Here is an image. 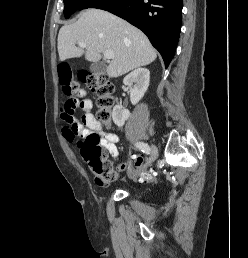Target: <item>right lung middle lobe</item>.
<instances>
[{
  "mask_svg": "<svg viewBox=\"0 0 248 258\" xmlns=\"http://www.w3.org/2000/svg\"><path fill=\"white\" fill-rule=\"evenodd\" d=\"M107 0H64L65 8L64 15L65 18H69L77 10H82L86 8L95 7Z\"/></svg>",
  "mask_w": 248,
  "mask_h": 258,
  "instance_id": "1",
  "label": "right lung middle lobe"
}]
</instances>
